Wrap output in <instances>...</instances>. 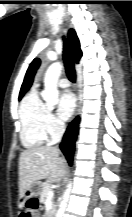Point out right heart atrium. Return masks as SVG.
Masks as SVG:
<instances>
[{
    "mask_svg": "<svg viewBox=\"0 0 132 217\" xmlns=\"http://www.w3.org/2000/svg\"><path fill=\"white\" fill-rule=\"evenodd\" d=\"M45 128L47 134L51 138H55L62 133L64 125L59 119L56 118L54 114L48 112L45 122Z\"/></svg>",
    "mask_w": 132,
    "mask_h": 217,
    "instance_id": "obj_1",
    "label": "right heart atrium"
}]
</instances>
